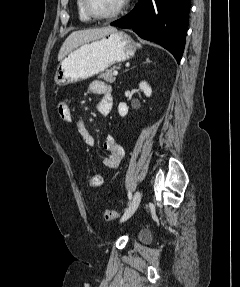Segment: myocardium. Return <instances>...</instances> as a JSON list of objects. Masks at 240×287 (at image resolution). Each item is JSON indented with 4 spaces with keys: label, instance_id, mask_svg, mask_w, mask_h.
Segmentation results:
<instances>
[{
    "label": "myocardium",
    "instance_id": "myocardium-1",
    "mask_svg": "<svg viewBox=\"0 0 240 287\" xmlns=\"http://www.w3.org/2000/svg\"><path fill=\"white\" fill-rule=\"evenodd\" d=\"M128 2H129V0H122L121 3L118 5V7L115 10H113L111 13L105 14V15H100L93 10L90 0H83L84 9H85L87 15L90 18H92L94 20H98V21L110 20V19L117 17L126 9Z\"/></svg>",
    "mask_w": 240,
    "mask_h": 287
}]
</instances>
